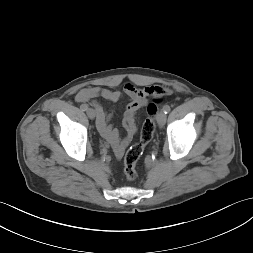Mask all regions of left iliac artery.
<instances>
[{
    "label": "left iliac artery",
    "mask_w": 253,
    "mask_h": 253,
    "mask_svg": "<svg viewBox=\"0 0 253 253\" xmlns=\"http://www.w3.org/2000/svg\"><path fill=\"white\" fill-rule=\"evenodd\" d=\"M170 110H171V108H170L169 105H165V106L163 107V111H164L165 114L169 113Z\"/></svg>",
    "instance_id": "left-iliac-artery-1"
}]
</instances>
